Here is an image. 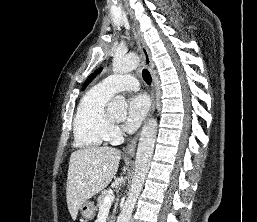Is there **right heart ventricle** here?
Wrapping results in <instances>:
<instances>
[{
    "instance_id": "right-heart-ventricle-1",
    "label": "right heart ventricle",
    "mask_w": 257,
    "mask_h": 222,
    "mask_svg": "<svg viewBox=\"0 0 257 222\" xmlns=\"http://www.w3.org/2000/svg\"><path fill=\"white\" fill-rule=\"evenodd\" d=\"M111 96L96 86L82 97L73 122L74 140L77 147L98 148L109 140L111 126L106 119V107Z\"/></svg>"
}]
</instances>
